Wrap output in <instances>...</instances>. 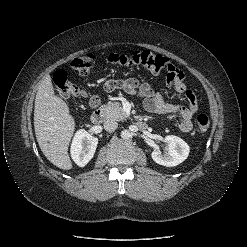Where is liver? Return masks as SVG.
<instances>
[{"label":"liver","instance_id":"6515ba94","mask_svg":"<svg viewBox=\"0 0 247 247\" xmlns=\"http://www.w3.org/2000/svg\"><path fill=\"white\" fill-rule=\"evenodd\" d=\"M34 128L45 157L58 168L70 170L68 146L75 131V120L67 103L55 95L49 75L42 78L36 94Z\"/></svg>","mask_w":247,"mask_h":247}]
</instances>
